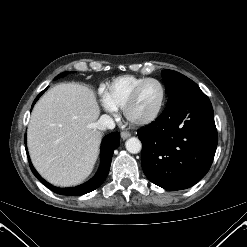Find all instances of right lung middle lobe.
<instances>
[{
	"instance_id": "right-lung-middle-lobe-1",
	"label": "right lung middle lobe",
	"mask_w": 247,
	"mask_h": 247,
	"mask_svg": "<svg viewBox=\"0 0 247 247\" xmlns=\"http://www.w3.org/2000/svg\"><path fill=\"white\" fill-rule=\"evenodd\" d=\"M67 73H68V72L61 73V74H59L55 79H57L58 77L65 76Z\"/></svg>"
}]
</instances>
